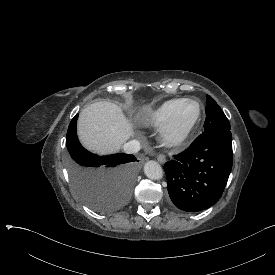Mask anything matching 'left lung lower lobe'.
Masks as SVG:
<instances>
[{
	"instance_id": "left-lung-lower-lobe-1",
	"label": "left lung lower lobe",
	"mask_w": 275,
	"mask_h": 275,
	"mask_svg": "<svg viewBox=\"0 0 275 275\" xmlns=\"http://www.w3.org/2000/svg\"><path fill=\"white\" fill-rule=\"evenodd\" d=\"M230 129L204 132L164 165L168 193L179 209L198 212L221 197L232 168Z\"/></svg>"
}]
</instances>
